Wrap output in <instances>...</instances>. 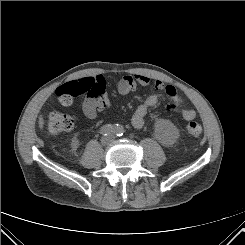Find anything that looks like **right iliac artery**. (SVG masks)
<instances>
[{
    "label": "right iliac artery",
    "mask_w": 245,
    "mask_h": 245,
    "mask_svg": "<svg viewBox=\"0 0 245 245\" xmlns=\"http://www.w3.org/2000/svg\"><path fill=\"white\" fill-rule=\"evenodd\" d=\"M114 126L111 124H107L101 127L100 133L104 136H109L114 133Z\"/></svg>",
    "instance_id": "obj_1"
}]
</instances>
